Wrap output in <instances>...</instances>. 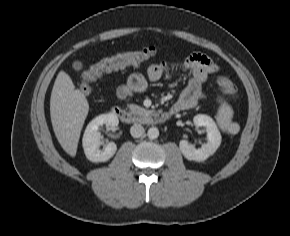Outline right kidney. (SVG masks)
Instances as JSON below:
<instances>
[{"instance_id":"obj_1","label":"right kidney","mask_w":290,"mask_h":236,"mask_svg":"<svg viewBox=\"0 0 290 236\" xmlns=\"http://www.w3.org/2000/svg\"><path fill=\"white\" fill-rule=\"evenodd\" d=\"M118 123V117L113 113H108L97 116L87 125L82 145L88 160L95 163L106 162L114 156L117 150V145L114 142H109L103 150L99 149L101 140L98 129L104 124L110 129H115Z\"/></svg>"}]
</instances>
